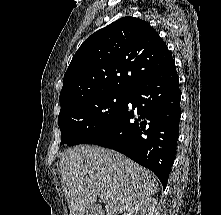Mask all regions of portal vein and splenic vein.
Returning a JSON list of instances; mask_svg holds the SVG:
<instances>
[{"label": "portal vein and splenic vein", "mask_w": 221, "mask_h": 215, "mask_svg": "<svg viewBox=\"0 0 221 215\" xmlns=\"http://www.w3.org/2000/svg\"><path fill=\"white\" fill-rule=\"evenodd\" d=\"M100 199L102 200V199H103V196H100Z\"/></svg>", "instance_id": "obj_1"}]
</instances>
